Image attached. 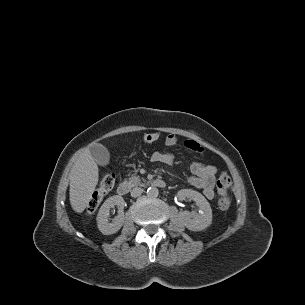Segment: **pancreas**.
Instances as JSON below:
<instances>
[{
	"mask_svg": "<svg viewBox=\"0 0 305 305\" xmlns=\"http://www.w3.org/2000/svg\"><path fill=\"white\" fill-rule=\"evenodd\" d=\"M129 183L132 185V186H137V185H140L141 184V179L139 176H134L132 175L130 178H129Z\"/></svg>",
	"mask_w": 305,
	"mask_h": 305,
	"instance_id": "cf45deb5",
	"label": "pancreas"
}]
</instances>
